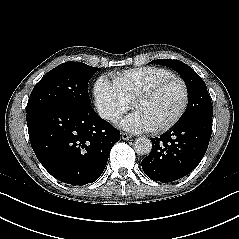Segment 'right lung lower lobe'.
I'll return each instance as SVG.
<instances>
[{
  "instance_id": "98d812e1",
  "label": "right lung lower lobe",
  "mask_w": 239,
  "mask_h": 239,
  "mask_svg": "<svg viewBox=\"0 0 239 239\" xmlns=\"http://www.w3.org/2000/svg\"><path fill=\"white\" fill-rule=\"evenodd\" d=\"M31 146L56 179L85 185L102 174L120 132L89 106L46 105L27 110Z\"/></svg>"
}]
</instances>
